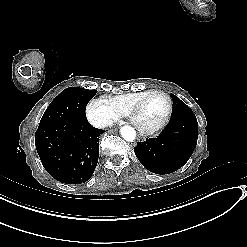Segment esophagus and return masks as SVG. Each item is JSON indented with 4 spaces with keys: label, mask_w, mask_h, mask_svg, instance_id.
<instances>
[{
    "label": "esophagus",
    "mask_w": 247,
    "mask_h": 247,
    "mask_svg": "<svg viewBox=\"0 0 247 247\" xmlns=\"http://www.w3.org/2000/svg\"><path fill=\"white\" fill-rule=\"evenodd\" d=\"M137 139L140 142H144L146 140V138L144 136H140V135H138Z\"/></svg>",
    "instance_id": "34e87169"
}]
</instances>
